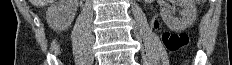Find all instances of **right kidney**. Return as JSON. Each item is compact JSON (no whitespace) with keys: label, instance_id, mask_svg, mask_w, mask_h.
<instances>
[{"label":"right kidney","instance_id":"ca27d5eb","mask_svg":"<svg viewBox=\"0 0 232 65\" xmlns=\"http://www.w3.org/2000/svg\"><path fill=\"white\" fill-rule=\"evenodd\" d=\"M77 6V0L55 1L46 12L48 25L56 31H65L71 26L74 20Z\"/></svg>","mask_w":232,"mask_h":65}]
</instances>
